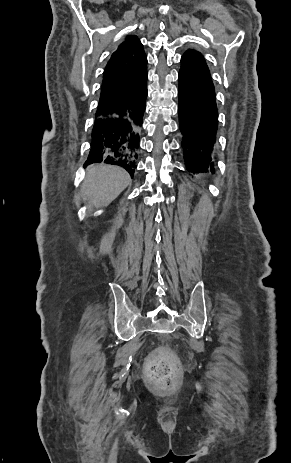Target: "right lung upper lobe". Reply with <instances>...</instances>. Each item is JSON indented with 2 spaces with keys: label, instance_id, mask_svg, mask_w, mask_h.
I'll return each mask as SVG.
<instances>
[{
  "label": "right lung upper lobe",
  "instance_id": "right-lung-upper-lobe-1",
  "mask_svg": "<svg viewBox=\"0 0 291 463\" xmlns=\"http://www.w3.org/2000/svg\"><path fill=\"white\" fill-rule=\"evenodd\" d=\"M147 74V57L137 36H130L112 54L104 70L95 117H103L140 87Z\"/></svg>",
  "mask_w": 291,
  "mask_h": 463
}]
</instances>
